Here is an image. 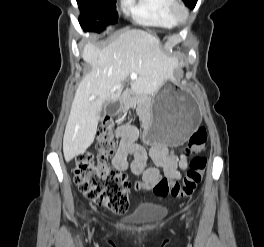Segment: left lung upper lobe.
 Wrapping results in <instances>:
<instances>
[{"label":"left lung upper lobe","mask_w":264,"mask_h":247,"mask_svg":"<svg viewBox=\"0 0 264 247\" xmlns=\"http://www.w3.org/2000/svg\"><path fill=\"white\" fill-rule=\"evenodd\" d=\"M185 2V4L187 6H189L190 8H194L196 3H197V0H183Z\"/></svg>","instance_id":"left-lung-upper-lobe-1"}]
</instances>
